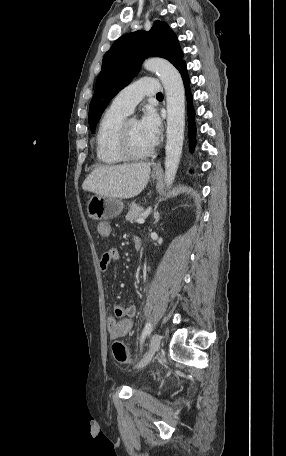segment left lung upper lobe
<instances>
[{
    "instance_id": "5c2ea615",
    "label": "left lung upper lobe",
    "mask_w": 286,
    "mask_h": 456,
    "mask_svg": "<svg viewBox=\"0 0 286 456\" xmlns=\"http://www.w3.org/2000/svg\"><path fill=\"white\" fill-rule=\"evenodd\" d=\"M152 55L169 60L176 68L184 63L178 39L165 22L155 21L149 32L137 31L120 37L105 53L89 106L92 132L111 99L131 82L144 59Z\"/></svg>"
}]
</instances>
